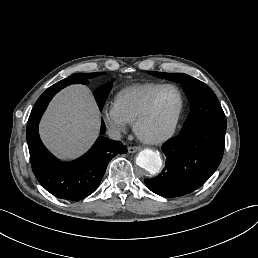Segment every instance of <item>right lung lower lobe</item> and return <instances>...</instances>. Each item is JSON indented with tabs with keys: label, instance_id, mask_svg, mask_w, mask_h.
I'll use <instances>...</instances> for the list:
<instances>
[{
	"label": "right lung lower lobe",
	"instance_id": "obj_1",
	"mask_svg": "<svg viewBox=\"0 0 258 258\" xmlns=\"http://www.w3.org/2000/svg\"><path fill=\"white\" fill-rule=\"evenodd\" d=\"M88 84L87 78L71 75L48 88L36 101L27 123L26 138L32 170L38 182L52 195L66 200H81L99 186L107 165L116 154L127 152L126 146L100 136L91 149L72 162H60L43 145L39 121L53 96L70 84ZM106 127L102 120L101 134Z\"/></svg>",
	"mask_w": 258,
	"mask_h": 258
}]
</instances>
